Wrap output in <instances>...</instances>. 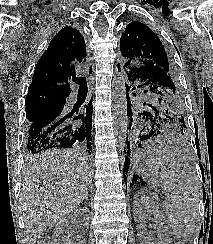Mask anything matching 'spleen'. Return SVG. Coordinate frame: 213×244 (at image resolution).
I'll list each match as a JSON object with an SVG mask.
<instances>
[{"mask_svg": "<svg viewBox=\"0 0 213 244\" xmlns=\"http://www.w3.org/2000/svg\"><path fill=\"white\" fill-rule=\"evenodd\" d=\"M146 163L160 177L170 228L178 238L190 241L199 215L201 191L193 170L181 156L168 150L152 153Z\"/></svg>", "mask_w": 213, "mask_h": 244, "instance_id": "obj_1", "label": "spleen"}]
</instances>
